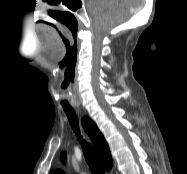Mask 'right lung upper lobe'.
Instances as JSON below:
<instances>
[{
    "label": "right lung upper lobe",
    "instance_id": "1",
    "mask_svg": "<svg viewBox=\"0 0 187 174\" xmlns=\"http://www.w3.org/2000/svg\"><path fill=\"white\" fill-rule=\"evenodd\" d=\"M83 126L87 134L90 136L104 168L109 171L112 167V157L104 136L98 130L97 126L90 120L87 122L83 121ZM55 174H63V172L59 170Z\"/></svg>",
    "mask_w": 187,
    "mask_h": 174
}]
</instances>
